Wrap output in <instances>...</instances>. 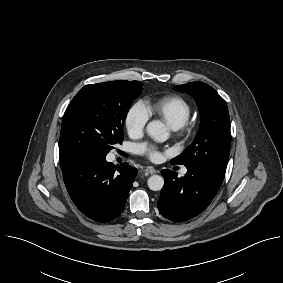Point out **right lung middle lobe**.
Segmentation results:
<instances>
[{
	"label": "right lung middle lobe",
	"instance_id": "dd1d6c3e",
	"mask_svg": "<svg viewBox=\"0 0 283 283\" xmlns=\"http://www.w3.org/2000/svg\"><path fill=\"white\" fill-rule=\"evenodd\" d=\"M140 81H111L84 86L68 105L59 140L60 158L107 155L123 140L129 107L141 93Z\"/></svg>",
	"mask_w": 283,
	"mask_h": 283
}]
</instances>
